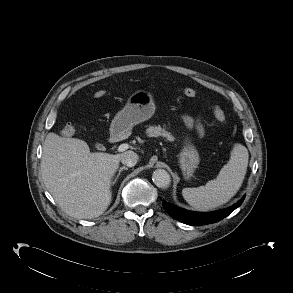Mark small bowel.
Here are the masks:
<instances>
[{
  "instance_id": "small-bowel-1",
  "label": "small bowel",
  "mask_w": 293,
  "mask_h": 293,
  "mask_svg": "<svg viewBox=\"0 0 293 293\" xmlns=\"http://www.w3.org/2000/svg\"><path fill=\"white\" fill-rule=\"evenodd\" d=\"M184 121L189 127H194L200 136L203 134L202 125L200 124L199 121H195L190 116H185Z\"/></svg>"
}]
</instances>
